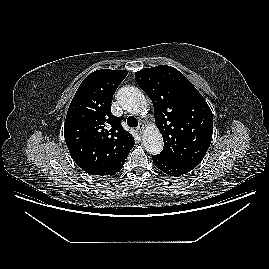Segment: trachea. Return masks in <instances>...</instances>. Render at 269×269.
<instances>
[{
  "mask_svg": "<svg viewBox=\"0 0 269 269\" xmlns=\"http://www.w3.org/2000/svg\"><path fill=\"white\" fill-rule=\"evenodd\" d=\"M127 124H128V126L134 128V127H137L138 126V121H137V119L135 117L129 116L127 118Z\"/></svg>",
  "mask_w": 269,
  "mask_h": 269,
  "instance_id": "trachea-1",
  "label": "trachea"
}]
</instances>
